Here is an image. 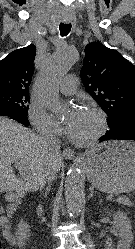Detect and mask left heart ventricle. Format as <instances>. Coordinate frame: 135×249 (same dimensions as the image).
I'll return each instance as SVG.
<instances>
[{"instance_id":"left-heart-ventricle-1","label":"left heart ventricle","mask_w":135,"mask_h":249,"mask_svg":"<svg viewBox=\"0 0 135 249\" xmlns=\"http://www.w3.org/2000/svg\"><path fill=\"white\" fill-rule=\"evenodd\" d=\"M98 129V119L90 110H82L81 118L71 133V135L79 140H84L93 135Z\"/></svg>"}]
</instances>
